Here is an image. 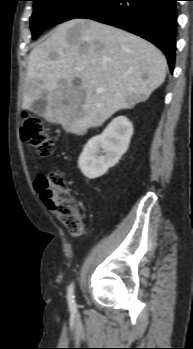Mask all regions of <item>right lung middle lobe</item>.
Instances as JSON below:
<instances>
[{
    "label": "right lung middle lobe",
    "mask_w": 193,
    "mask_h": 349,
    "mask_svg": "<svg viewBox=\"0 0 193 349\" xmlns=\"http://www.w3.org/2000/svg\"><path fill=\"white\" fill-rule=\"evenodd\" d=\"M34 12L30 19L33 39L56 24L77 18L98 0H32Z\"/></svg>",
    "instance_id": "dd1d6c3e"
}]
</instances>
